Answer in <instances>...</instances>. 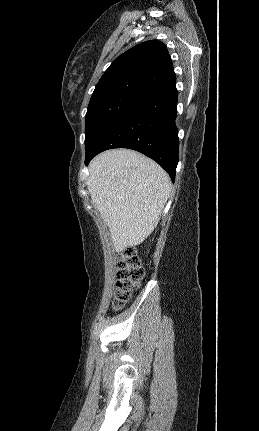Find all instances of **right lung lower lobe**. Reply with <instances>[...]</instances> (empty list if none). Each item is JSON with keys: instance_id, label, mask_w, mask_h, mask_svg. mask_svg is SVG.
Returning a JSON list of instances; mask_svg holds the SVG:
<instances>
[{"instance_id": "obj_1", "label": "right lung lower lobe", "mask_w": 259, "mask_h": 431, "mask_svg": "<svg viewBox=\"0 0 259 431\" xmlns=\"http://www.w3.org/2000/svg\"><path fill=\"white\" fill-rule=\"evenodd\" d=\"M176 80L151 89L126 109L86 153L85 164L102 151L129 148L155 160L175 180L178 164Z\"/></svg>"}]
</instances>
